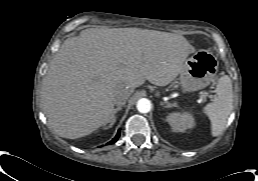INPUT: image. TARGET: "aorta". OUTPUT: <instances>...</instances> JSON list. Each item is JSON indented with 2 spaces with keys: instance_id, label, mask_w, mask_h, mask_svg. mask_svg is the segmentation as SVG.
Returning <instances> with one entry per match:
<instances>
[{
  "instance_id": "762f6f07",
  "label": "aorta",
  "mask_w": 258,
  "mask_h": 181,
  "mask_svg": "<svg viewBox=\"0 0 258 181\" xmlns=\"http://www.w3.org/2000/svg\"><path fill=\"white\" fill-rule=\"evenodd\" d=\"M136 107L140 113H148L151 109V102L146 98H142L138 100Z\"/></svg>"
}]
</instances>
